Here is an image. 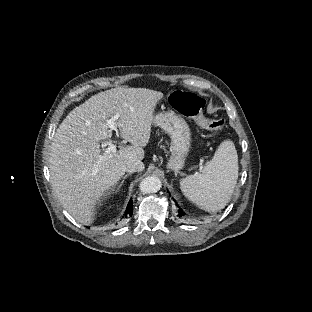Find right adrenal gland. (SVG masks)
<instances>
[{
  "instance_id": "2a0ac1e0",
  "label": "right adrenal gland",
  "mask_w": 312,
  "mask_h": 312,
  "mask_svg": "<svg viewBox=\"0 0 312 312\" xmlns=\"http://www.w3.org/2000/svg\"><path fill=\"white\" fill-rule=\"evenodd\" d=\"M130 174H126L124 177H123V180L120 182V184L117 186V188L114 190L115 193L119 192L120 188L122 187L125 179L129 176Z\"/></svg>"
}]
</instances>
